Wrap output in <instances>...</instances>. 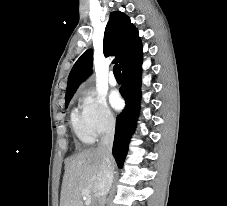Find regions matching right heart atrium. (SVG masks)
<instances>
[{"mask_svg": "<svg viewBox=\"0 0 227 206\" xmlns=\"http://www.w3.org/2000/svg\"><path fill=\"white\" fill-rule=\"evenodd\" d=\"M79 103L84 125L93 138L114 129L116 119L103 96L83 89L79 93Z\"/></svg>", "mask_w": 227, "mask_h": 206, "instance_id": "d8ad5b80", "label": "right heart atrium"}]
</instances>
